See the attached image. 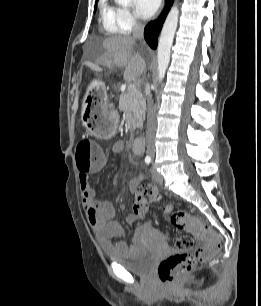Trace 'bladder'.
Returning <instances> with one entry per match:
<instances>
[{
    "label": "bladder",
    "mask_w": 261,
    "mask_h": 306,
    "mask_svg": "<svg viewBox=\"0 0 261 306\" xmlns=\"http://www.w3.org/2000/svg\"><path fill=\"white\" fill-rule=\"evenodd\" d=\"M149 231L158 240L156 245H146L140 240L138 234L136 243L130 247L126 254L119 256L105 252L107 260L116 262L133 273H148L159 255V247L162 246L164 239V235L156 229H149Z\"/></svg>",
    "instance_id": "obj_1"
}]
</instances>
